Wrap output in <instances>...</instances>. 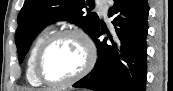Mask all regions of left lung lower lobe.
Listing matches in <instances>:
<instances>
[{
	"mask_svg": "<svg viewBox=\"0 0 173 91\" xmlns=\"http://www.w3.org/2000/svg\"><path fill=\"white\" fill-rule=\"evenodd\" d=\"M113 1L108 16L114 17V27L108 30L98 25L92 36L98 48V60L91 73L73 86L96 91H145L147 0ZM103 32L107 38L100 41Z\"/></svg>",
	"mask_w": 173,
	"mask_h": 91,
	"instance_id": "0a47b994",
	"label": "left lung lower lobe"
}]
</instances>
